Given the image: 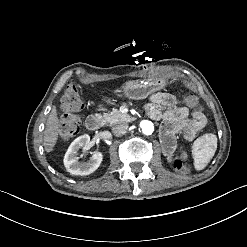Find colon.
Segmentation results:
<instances>
[{
    "instance_id": "1",
    "label": "colon",
    "mask_w": 247,
    "mask_h": 247,
    "mask_svg": "<svg viewBox=\"0 0 247 247\" xmlns=\"http://www.w3.org/2000/svg\"><path fill=\"white\" fill-rule=\"evenodd\" d=\"M184 102L193 106L196 109L201 108L198 98L193 93H184L181 95ZM83 107V100L81 94L74 85H69L61 96L60 109L62 112L59 120V134L63 140L73 139L78 132L81 124L80 111ZM173 170L182 175L190 172V167L181 158H176L171 163Z\"/></svg>"
}]
</instances>
